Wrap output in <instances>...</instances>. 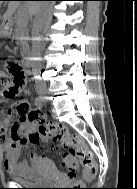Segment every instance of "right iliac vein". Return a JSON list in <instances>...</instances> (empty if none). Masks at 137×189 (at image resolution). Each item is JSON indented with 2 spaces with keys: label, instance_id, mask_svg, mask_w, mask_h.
<instances>
[{
  "label": "right iliac vein",
  "instance_id": "right-iliac-vein-1",
  "mask_svg": "<svg viewBox=\"0 0 137 189\" xmlns=\"http://www.w3.org/2000/svg\"><path fill=\"white\" fill-rule=\"evenodd\" d=\"M47 94H48V90L47 89H44V90L40 91V95H41L42 99L47 98Z\"/></svg>",
  "mask_w": 137,
  "mask_h": 189
}]
</instances>
